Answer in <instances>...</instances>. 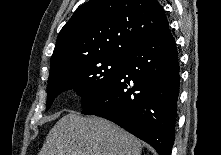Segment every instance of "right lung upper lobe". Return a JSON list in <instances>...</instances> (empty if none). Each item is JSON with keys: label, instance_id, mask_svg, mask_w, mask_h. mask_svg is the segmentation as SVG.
<instances>
[{"label": "right lung upper lobe", "instance_id": "1", "mask_svg": "<svg viewBox=\"0 0 221 155\" xmlns=\"http://www.w3.org/2000/svg\"><path fill=\"white\" fill-rule=\"evenodd\" d=\"M167 28L157 0H90L61 29L50 75L80 60L127 56L140 40Z\"/></svg>", "mask_w": 221, "mask_h": 155}]
</instances>
